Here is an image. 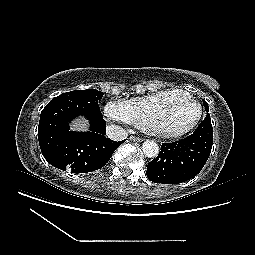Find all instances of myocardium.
Segmentation results:
<instances>
[{"label":"myocardium","instance_id":"f54148a6","mask_svg":"<svg viewBox=\"0 0 255 255\" xmlns=\"http://www.w3.org/2000/svg\"><path fill=\"white\" fill-rule=\"evenodd\" d=\"M186 101L195 105L197 108V113L194 119L185 127L179 130H167L160 126V118L163 112L176 101ZM202 116V106L201 104L188 92H180L176 97L171 98L166 101L162 106L155 110L146 120L143 126L145 132L150 135L161 137V138H177L181 137L188 132H190L200 121Z\"/></svg>","mask_w":255,"mask_h":255}]
</instances>
